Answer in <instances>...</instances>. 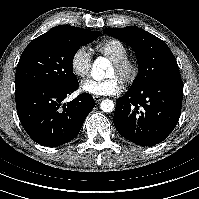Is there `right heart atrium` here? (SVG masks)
Here are the masks:
<instances>
[{"mask_svg":"<svg viewBox=\"0 0 199 199\" xmlns=\"http://www.w3.org/2000/svg\"><path fill=\"white\" fill-rule=\"evenodd\" d=\"M91 67L90 51L86 47H79L71 56L70 68L78 78H84Z\"/></svg>","mask_w":199,"mask_h":199,"instance_id":"right-heart-atrium-1","label":"right heart atrium"}]
</instances>
